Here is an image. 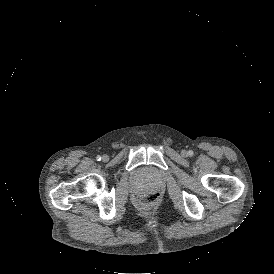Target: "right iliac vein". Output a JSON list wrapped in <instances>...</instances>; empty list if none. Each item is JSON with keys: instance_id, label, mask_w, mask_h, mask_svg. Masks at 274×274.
<instances>
[{"instance_id": "63e3f726", "label": "right iliac vein", "mask_w": 274, "mask_h": 274, "mask_svg": "<svg viewBox=\"0 0 274 274\" xmlns=\"http://www.w3.org/2000/svg\"><path fill=\"white\" fill-rule=\"evenodd\" d=\"M102 160H103L104 162H106V161L108 160V156L104 154V155L102 156Z\"/></svg>"}]
</instances>
